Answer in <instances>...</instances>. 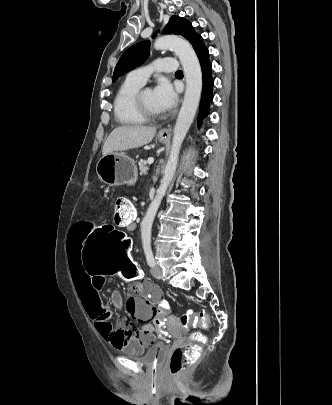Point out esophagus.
Listing matches in <instances>:
<instances>
[{
	"label": "esophagus",
	"mask_w": 332,
	"mask_h": 405,
	"mask_svg": "<svg viewBox=\"0 0 332 405\" xmlns=\"http://www.w3.org/2000/svg\"><path fill=\"white\" fill-rule=\"evenodd\" d=\"M159 134L161 135V136H169L170 135V129H168V128H164V129H161L160 131H159Z\"/></svg>",
	"instance_id": "obj_1"
}]
</instances>
